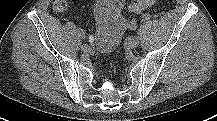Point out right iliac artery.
Instances as JSON below:
<instances>
[{
	"label": "right iliac artery",
	"instance_id": "82829eb1",
	"mask_svg": "<svg viewBox=\"0 0 217 121\" xmlns=\"http://www.w3.org/2000/svg\"><path fill=\"white\" fill-rule=\"evenodd\" d=\"M78 36L80 37V39L86 40L85 33L82 30H78Z\"/></svg>",
	"mask_w": 217,
	"mask_h": 121
}]
</instances>
